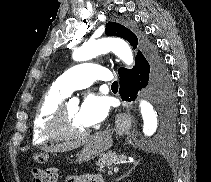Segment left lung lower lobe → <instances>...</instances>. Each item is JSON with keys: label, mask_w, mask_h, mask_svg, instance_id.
<instances>
[{"label": "left lung lower lobe", "mask_w": 211, "mask_h": 182, "mask_svg": "<svg viewBox=\"0 0 211 182\" xmlns=\"http://www.w3.org/2000/svg\"><path fill=\"white\" fill-rule=\"evenodd\" d=\"M119 76L121 80L119 93L123 100H135L137 92L146 88L156 102L161 115L168 117L169 109L174 104L175 91L164 61L155 47L151 46L143 53L138 51L133 69H126L120 72Z\"/></svg>", "instance_id": "left-lung-lower-lobe-1"}]
</instances>
